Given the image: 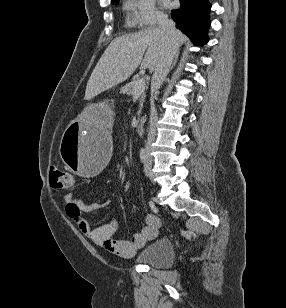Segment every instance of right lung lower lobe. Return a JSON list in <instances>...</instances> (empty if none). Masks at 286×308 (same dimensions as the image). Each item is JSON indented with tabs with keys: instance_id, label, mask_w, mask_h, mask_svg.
I'll list each match as a JSON object with an SVG mask.
<instances>
[{
	"instance_id": "obj_1",
	"label": "right lung lower lobe",
	"mask_w": 286,
	"mask_h": 308,
	"mask_svg": "<svg viewBox=\"0 0 286 308\" xmlns=\"http://www.w3.org/2000/svg\"><path fill=\"white\" fill-rule=\"evenodd\" d=\"M179 9L172 10L171 15L176 26L196 44L208 42L210 27L209 12L211 5L208 0H180Z\"/></svg>"
}]
</instances>
